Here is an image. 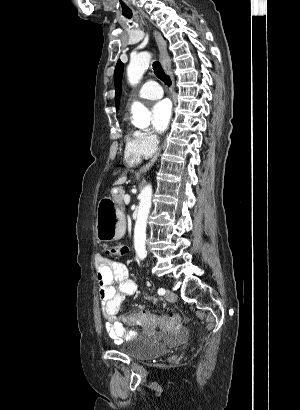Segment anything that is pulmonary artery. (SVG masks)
Instances as JSON below:
<instances>
[{"instance_id": "1", "label": "pulmonary artery", "mask_w": 300, "mask_h": 410, "mask_svg": "<svg viewBox=\"0 0 300 410\" xmlns=\"http://www.w3.org/2000/svg\"><path fill=\"white\" fill-rule=\"evenodd\" d=\"M162 96L163 90L155 81L146 82L137 93V97L142 100H155Z\"/></svg>"}]
</instances>
